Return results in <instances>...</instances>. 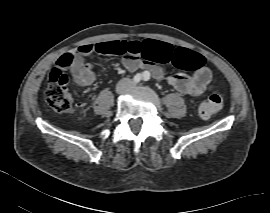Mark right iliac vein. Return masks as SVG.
Instances as JSON below:
<instances>
[{"label":"right iliac vein","mask_w":270,"mask_h":213,"mask_svg":"<svg viewBox=\"0 0 270 213\" xmlns=\"http://www.w3.org/2000/svg\"><path fill=\"white\" fill-rule=\"evenodd\" d=\"M130 87V82L128 80H123L118 86H117V93L121 94L125 92Z\"/></svg>","instance_id":"63e3f726"}]
</instances>
